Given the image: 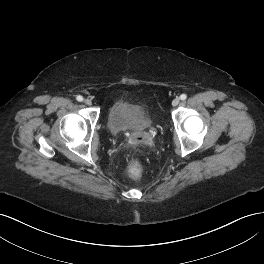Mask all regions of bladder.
I'll return each mask as SVG.
<instances>
[{
  "mask_svg": "<svg viewBox=\"0 0 264 264\" xmlns=\"http://www.w3.org/2000/svg\"><path fill=\"white\" fill-rule=\"evenodd\" d=\"M106 120L112 133L145 130L152 125L151 116L142 106L124 99H119L110 105Z\"/></svg>",
  "mask_w": 264,
  "mask_h": 264,
  "instance_id": "1",
  "label": "bladder"
}]
</instances>
